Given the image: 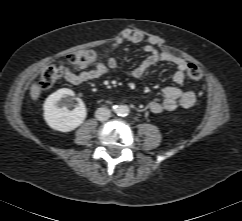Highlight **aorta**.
Segmentation results:
<instances>
[{"mask_svg": "<svg viewBox=\"0 0 242 221\" xmlns=\"http://www.w3.org/2000/svg\"><path fill=\"white\" fill-rule=\"evenodd\" d=\"M129 107L127 105H118L115 108V112L118 116H126L129 113Z\"/></svg>", "mask_w": 242, "mask_h": 221, "instance_id": "1", "label": "aorta"}]
</instances>
